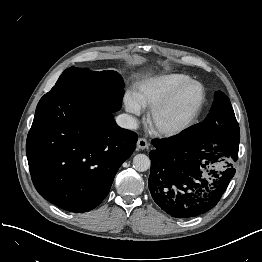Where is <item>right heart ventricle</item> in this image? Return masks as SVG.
Instances as JSON below:
<instances>
[{
  "label": "right heart ventricle",
  "mask_w": 262,
  "mask_h": 262,
  "mask_svg": "<svg viewBox=\"0 0 262 262\" xmlns=\"http://www.w3.org/2000/svg\"><path fill=\"white\" fill-rule=\"evenodd\" d=\"M188 79L191 77L185 73L160 74L140 82L135 89L134 97L141 108H151L176 86Z\"/></svg>",
  "instance_id": "1"
}]
</instances>
